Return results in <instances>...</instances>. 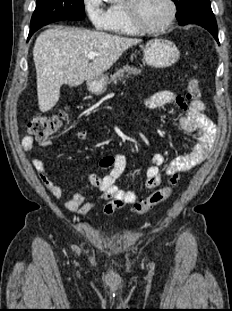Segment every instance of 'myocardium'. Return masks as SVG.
Masks as SVG:
<instances>
[{"instance_id": "f54148a6", "label": "myocardium", "mask_w": 232, "mask_h": 311, "mask_svg": "<svg viewBox=\"0 0 232 311\" xmlns=\"http://www.w3.org/2000/svg\"><path fill=\"white\" fill-rule=\"evenodd\" d=\"M169 5V16L165 20L163 24H161L158 27H147L141 23V21L138 18L137 14V3L138 0H125L124 7L127 13L128 20L132 27L139 33L142 34H156L161 33L168 29L170 25L175 20L176 14H177V7L174 0H166Z\"/></svg>"}]
</instances>
